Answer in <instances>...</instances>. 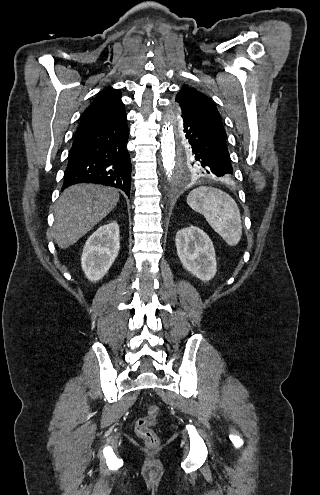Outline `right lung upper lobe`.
<instances>
[{
	"label": "right lung upper lobe",
	"instance_id": "cb5924a9",
	"mask_svg": "<svg viewBox=\"0 0 320 495\" xmlns=\"http://www.w3.org/2000/svg\"><path fill=\"white\" fill-rule=\"evenodd\" d=\"M125 121L127 117L121 101V92L108 86L99 92L86 108L76 133Z\"/></svg>",
	"mask_w": 320,
	"mask_h": 495
}]
</instances>
